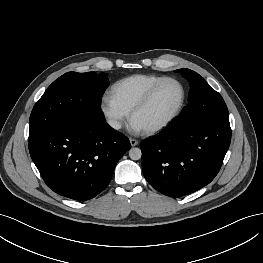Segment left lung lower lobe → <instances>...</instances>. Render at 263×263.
I'll return each instance as SVG.
<instances>
[{
	"instance_id": "left-lung-lower-lobe-1",
	"label": "left lung lower lobe",
	"mask_w": 263,
	"mask_h": 263,
	"mask_svg": "<svg viewBox=\"0 0 263 263\" xmlns=\"http://www.w3.org/2000/svg\"><path fill=\"white\" fill-rule=\"evenodd\" d=\"M230 141L229 118L209 120L187 131L171 123L141 143L143 174L164 195L193 193L215 178Z\"/></svg>"
}]
</instances>
